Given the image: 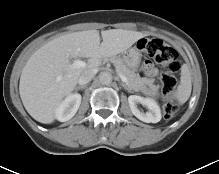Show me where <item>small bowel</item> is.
<instances>
[{"label": "small bowel", "mask_w": 219, "mask_h": 174, "mask_svg": "<svg viewBox=\"0 0 219 174\" xmlns=\"http://www.w3.org/2000/svg\"><path fill=\"white\" fill-rule=\"evenodd\" d=\"M143 69L145 74L148 77H155L158 74V70L156 69V67L153 65L152 62L150 61H146L143 65Z\"/></svg>", "instance_id": "obj_1"}]
</instances>
